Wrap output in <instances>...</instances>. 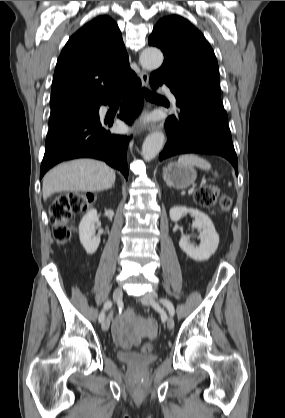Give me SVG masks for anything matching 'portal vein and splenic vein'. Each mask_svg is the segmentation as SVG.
Returning <instances> with one entry per match:
<instances>
[{
    "label": "portal vein and splenic vein",
    "mask_w": 285,
    "mask_h": 418,
    "mask_svg": "<svg viewBox=\"0 0 285 418\" xmlns=\"http://www.w3.org/2000/svg\"><path fill=\"white\" fill-rule=\"evenodd\" d=\"M194 189H195V187L193 186L192 188H190L189 190H188V194L189 195H191L193 192H194Z\"/></svg>",
    "instance_id": "1"
}]
</instances>
